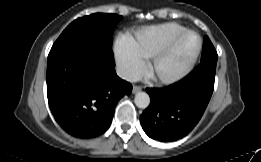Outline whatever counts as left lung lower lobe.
<instances>
[{
    "mask_svg": "<svg viewBox=\"0 0 261 162\" xmlns=\"http://www.w3.org/2000/svg\"><path fill=\"white\" fill-rule=\"evenodd\" d=\"M217 61L201 62L168 87L148 88L151 103L140 116L145 133L169 142L186 136L198 124L211 98Z\"/></svg>",
    "mask_w": 261,
    "mask_h": 162,
    "instance_id": "1",
    "label": "left lung lower lobe"
}]
</instances>
